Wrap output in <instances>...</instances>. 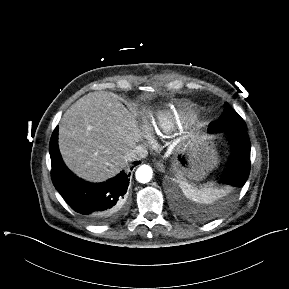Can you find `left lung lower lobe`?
Segmentation results:
<instances>
[{
  "instance_id": "0a47b994",
  "label": "left lung lower lobe",
  "mask_w": 289,
  "mask_h": 289,
  "mask_svg": "<svg viewBox=\"0 0 289 289\" xmlns=\"http://www.w3.org/2000/svg\"><path fill=\"white\" fill-rule=\"evenodd\" d=\"M233 143V156L222 182L236 190L242 187L250 172V141L245 129L224 130ZM185 163V158H181Z\"/></svg>"
}]
</instances>
